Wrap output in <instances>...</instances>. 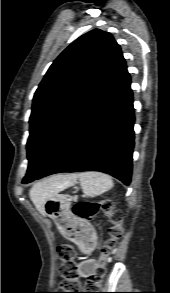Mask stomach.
Wrapping results in <instances>:
<instances>
[{"label":"stomach","mask_w":170,"mask_h":293,"mask_svg":"<svg viewBox=\"0 0 170 293\" xmlns=\"http://www.w3.org/2000/svg\"><path fill=\"white\" fill-rule=\"evenodd\" d=\"M59 192H56L47 198L44 204V212L47 216H49L55 221L57 226L64 229V225L67 222L71 221L73 216L70 211V207H71L70 199L66 195L60 194ZM84 227H85L84 228L85 232L89 233L90 235H93L92 230L88 225H85ZM64 232L70 239L76 240V242L82 243V240L78 232L72 233L65 229H64Z\"/></svg>","instance_id":"0dacf381"}]
</instances>
